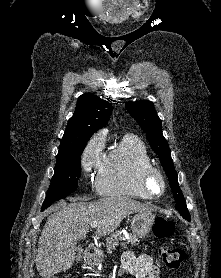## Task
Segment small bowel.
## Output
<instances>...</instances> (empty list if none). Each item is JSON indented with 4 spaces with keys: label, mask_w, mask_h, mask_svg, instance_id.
<instances>
[{
    "label": "small bowel",
    "mask_w": 221,
    "mask_h": 278,
    "mask_svg": "<svg viewBox=\"0 0 221 278\" xmlns=\"http://www.w3.org/2000/svg\"><path fill=\"white\" fill-rule=\"evenodd\" d=\"M156 274L157 267L154 265L149 255H137L132 251L124 253L122 267L119 270V275L121 277L156 278Z\"/></svg>",
    "instance_id": "obj_1"
}]
</instances>
